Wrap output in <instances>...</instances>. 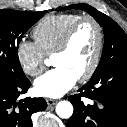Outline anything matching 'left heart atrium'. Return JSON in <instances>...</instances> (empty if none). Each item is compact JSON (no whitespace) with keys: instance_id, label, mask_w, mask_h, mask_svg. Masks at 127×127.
I'll return each instance as SVG.
<instances>
[{"instance_id":"left-heart-atrium-1","label":"left heart atrium","mask_w":127,"mask_h":127,"mask_svg":"<svg viewBox=\"0 0 127 127\" xmlns=\"http://www.w3.org/2000/svg\"><path fill=\"white\" fill-rule=\"evenodd\" d=\"M77 77L65 67H55L40 76L34 83L35 92L44 97L58 98L68 92Z\"/></svg>"}]
</instances>
